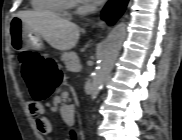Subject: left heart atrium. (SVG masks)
I'll return each instance as SVG.
<instances>
[{"mask_svg": "<svg viewBox=\"0 0 182 140\" xmlns=\"http://www.w3.org/2000/svg\"><path fill=\"white\" fill-rule=\"evenodd\" d=\"M93 2H95V3H96V2H99V1H98V0H93Z\"/></svg>", "mask_w": 182, "mask_h": 140, "instance_id": "39dd6f15", "label": "left heart atrium"}]
</instances>
